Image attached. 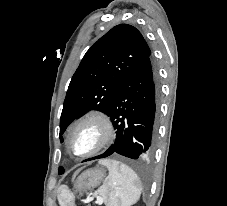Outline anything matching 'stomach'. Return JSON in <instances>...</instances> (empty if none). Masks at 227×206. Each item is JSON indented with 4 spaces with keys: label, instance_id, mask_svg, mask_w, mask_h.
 Returning <instances> with one entry per match:
<instances>
[{
    "label": "stomach",
    "instance_id": "0dacf381",
    "mask_svg": "<svg viewBox=\"0 0 227 206\" xmlns=\"http://www.w3.org/2000/svg\"><path fill=\"white\" fill-rule=\"evenodd\" d=\"M105 178V171L102 168L95 167L84 171L75 182L77 192H86L99 186Z\"/></svg>",
    "mask_w": 227,
    "mask_h": 206
}]
</instances>
